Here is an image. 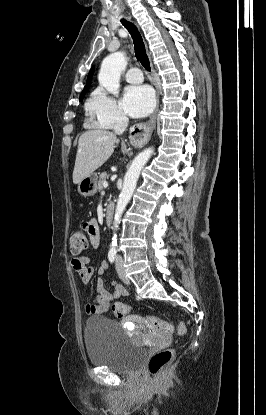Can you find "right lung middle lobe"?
<instances>
[{
	"instance_id": "1",
	"label": "right lung middle lobe",
	"mask_w": 266,
	"mask_h": 415,
	"mask_svg": "<svg viewBox=\"0 0 266 415\" xmlns=\"http://www.w3.org/2000/svg\"><path fill=\"white\" fill-rule=\"evenodd\" d=\"M82 98H83V96H82V97H80V101L82 100Z\"/></svg>"
}]
</instances>
